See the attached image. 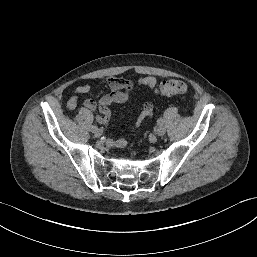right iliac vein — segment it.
Instances as JSON below:
<instances>
[{"mask_svg":"<svg viewBox=\"0 0 257 257\" xmlns=\"http://www.w3.org/2000/svg\"><path fill=\"white\" fill-rule=\"evenodd\" d=\"M93 133H94V135H95L96 137H100V136L102 135L103 131H102L101 129H97V130H95Z\"/></svg>","mask_w":257,"mask_h":257,"instance_id":"63e3f726","label":"right iliac vein"}]
</instances>
